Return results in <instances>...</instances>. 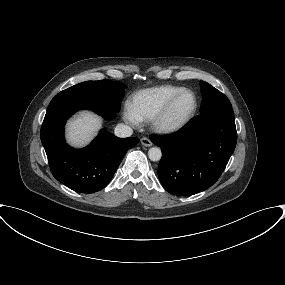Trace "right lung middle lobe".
Segmentation results:
<instances>
[{
  "label": "right lung middle lobe",
  "instance_id": "dd1d6c3e",
  "mask_svg": "<svg viewBox=\"0 0 285 285\" xmlns=\"http://www.w3.org/2000/svg\"><path fill=\"white\" fill-rule=\"evenodd\" d=\"M126 85L110 80L86 81L61 91L58 96H69L102 110L118 113Z\"/></svg>",
  "mask_w": 285,
  "mask_h": 285
}]
</instances>
